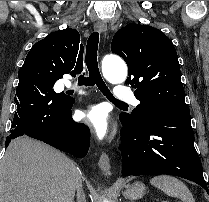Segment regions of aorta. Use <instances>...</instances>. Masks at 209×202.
Masks as SVG:
<instances>
[{
    "label": "aorta",
    "mask_w": 209,
    "mask_h": 202,
    "mask_svg": "<svg viewBox=\"0 0 209 202\" xmlns=\"http://www.w3.org/2000/svg\"><path fill=\"white\" fill-rule=\"evenodd\" d=\"M103 74L112 83H122L127 78L126 64L115 56H106L102 62ZM104 202H108L104 200Z\"/></svg>",
    "instance_id": "obj_1"
}]
</instances>
